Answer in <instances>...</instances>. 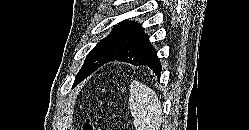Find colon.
<instances>
[{
	"label": "colon",
	"instance_id": "5ec220e1",
	"mask_svg": "<svg viewBox=\"0 0 249 130\" xmlns=\"http://www.w3.org/2000/svg\"><path fill=\"white\" fill-rule=\"evenodd\" d=\"M83 130H97L96 124L94 123V121L88 117L84 124H83ZM100 130V129H99Z\"/></svg>",
	"mask_w": 249,
	"mask_h": 130
}]
</instances>
